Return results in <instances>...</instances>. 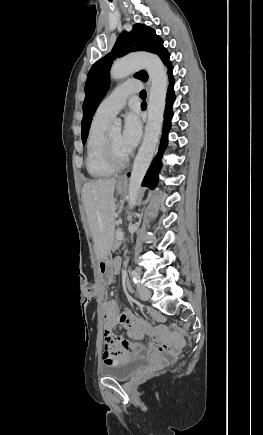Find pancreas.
<instances>
[{
	"mask_svg": "<svg viewBox=\"0 0 263 435\" xmlns=\"http://www.w3.org/2000/svg\"><path fill=\"white\" fill-rule=\"evenodd\" d=\"M119 231L120 230L117 229L115 233L117 234V232H119ZM120 245H121V241L116 237L115 241H114V248H118Z\"/></svg>",
	"mask_w": 263,
	"mask_h": 435,
	"instance_id": "pancreas-1",
	"label": "pancreas"
}]
</instances>
